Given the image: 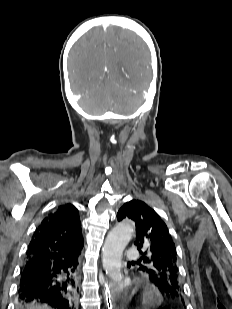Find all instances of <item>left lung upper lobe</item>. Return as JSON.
I'll use <instances>...</instances> for the list:
<instances>
[{
	"instance_id": "1",
	"label": "left lung upper lobe",
	"mask_w": 232,
	"mask_h": 309,
	"mask_svg": "<svg viewBox=\"0 0 232 309\" xmlns=\"http://www.w3.org/2000/svg\"><path fill=\"white\" fill-rule=\"evenodd\" d=\"M125 218L136 224L134 244L141 254L139 270L149 274L150 281L166 299L182 300L176 247L164 221L140 200H131L119 209L118 221Z\"/></svg>"
}]
</instances>
